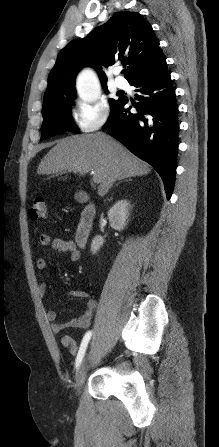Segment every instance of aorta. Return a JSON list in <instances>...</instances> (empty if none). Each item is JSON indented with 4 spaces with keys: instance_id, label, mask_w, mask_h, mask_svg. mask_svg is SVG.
I'll return each instance as SVG.
<instances>
[{
    "instance_id": "obj_1",
    "label": "aorta",
    "mask_w": 219,
    "mask_h": 447,
    "mask_svg": "<svg viewBox=\"0 0 219 447\" xmlns=\"http://www.w3.org/2000/svg\"><path fill=\"white\" fill-rule=\"evenodd\" d=\"M77 91L79 97L88 103L96 101L99 97V91L94 73L86 69L82 71L77 79Z\"/></svg>"
}]
</instances>
